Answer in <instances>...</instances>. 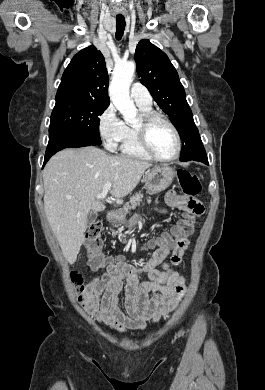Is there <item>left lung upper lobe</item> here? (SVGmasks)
<instances>
[{
    "instance_id": "1",
    "label": "left lung upper lobe",
    "mask_w": 265,
    "mask_h": 390,
    "mask_svg": "<svg viewBox=\"0 0 265 390\" xmlns=\"http://www.w3.org/2000/svg\"><path fill=\"white\" fill-rule=\"evenodd\" d=\"M134 58L140 82L170 117L182 139L180 161L191 160L204 147L176 69L167 55L146 39L138 43Z\"/></svg>"
}]
</instances>
